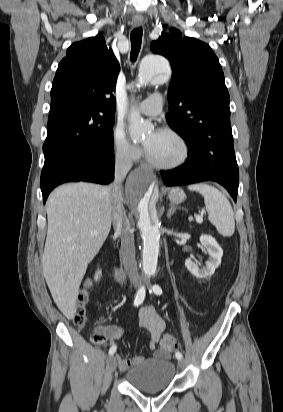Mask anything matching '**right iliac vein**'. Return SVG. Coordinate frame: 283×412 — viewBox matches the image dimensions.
I'll return each mask as SVG.
<instances>
[{
	"instance_id": "1",
	"label": "right iliac vein",
	"mask_w": 283,
	"mask_h": 412,
	"mask_svg": "<svg viewBox=\"0 0 283 412\" xmlns=\"http://www.w3.org/2000/svg\"><path fill=\"white\" fill-rule=\"evenodd\" d=\"M116 367H117L116 357L115 356L109 357L108 362H107V371L109 373H113L116 370Z\"/></svg>"
}]
</instances>
